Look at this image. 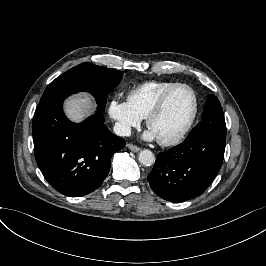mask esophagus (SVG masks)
I'll return each mask as SVG.
<instances>
[{"label":"esophagus","instance_id":"esophagus-1","mask_svg":"<svg viewBox=\"0 0 266 266\" xmlns=\"http://www.w3.org/2000/svg\"><path fill=\"white\" fill-rule=\"evenodd\" d=\"M127 146L133 152H138L140 150V148L134 144H128Z\"/></svg>","mask_w":266,"mask_h":266}]
</instances>
